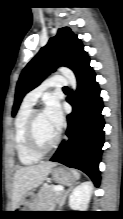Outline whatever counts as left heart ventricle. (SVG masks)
<instances>
[{
    "label": "left heart ventricle",
    "mask_w": 123,
    "mask_h": 219,
    "mask_svg": "<svg viewBox=\"0 0 123 219\" xmlns=\"http://www.w3.org/2000/svg\"><path fill=\"white\" fill-rule=\"evenodd\" d=\"M35 131L40 145L47 147L56 138L58 131L52 126L44 112L36 118Z\"/></svg>",
    "instance_id": "obj_1"
}]
</instances>
